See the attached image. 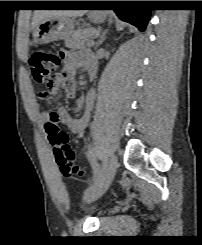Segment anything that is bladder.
<instances>
[{"label": "bladder", "instance_id": "bladder-1", "mask_svg": "<svg viewBox=\"0 0 202 245\" xmlns=\"http://www.w3.org/2000/svg\"><path fill=\"white\" fill-rule=\"evenodd\" d=\"M79 207L82 211L92 213L95 215H99L101 213L102 208L95 205L91 201H88L87 199L83 198L79 201Z\"/></svg>", "mask_w": 202, "mask_h": 245}]
</instances>
